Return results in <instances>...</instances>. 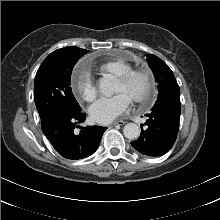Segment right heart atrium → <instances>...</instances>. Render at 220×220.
<instances>
[{
	"mask_svg": "<svg viewBox=\"0 0 220 220\" xmlns=\"http://www.w3.org/2000/svg\"><path fill=\"white\" fill-rule=\"evenodd\" d=\"M76 93L85 101H93L98 95V88L88 72L79 74L74 84Z\"/></svg>",
	"mask_w": 220,
	"mask_h": 220,
	"instance_id": "right-heart-atrium-1",
	"label": "right heart atrium"
}]
</instances>
